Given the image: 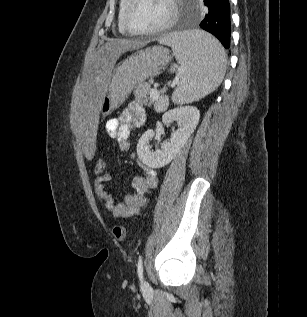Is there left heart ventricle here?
Masks as SVG:
<instances>
[{"label":"left heart ventricle","mask_w":307,"mask_h":317,"mask_svg":"<svg viewBox=\"0 0 307 317\" xmlns=\"http://www.w3.org/2000/svg\"><path fill=\"white\" fill-rule=\"evenodd\" d=\"M169 0H135L129 22L136 30H149L163 24L170 16Z\"/></svg>","instance_id":"obj_1"}]
</instances>
